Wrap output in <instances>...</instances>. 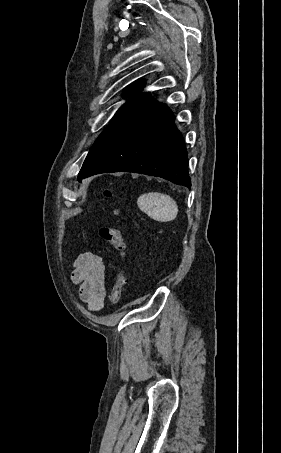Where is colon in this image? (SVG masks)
Listing matches in <instances>:
<instances>
[{
  "mask_svg": "<svg viewBox=\"0 0 281 453\" xmlns=\"http://www.w3.org/2000/svg\"><path fill=\"white\" fill-rule=\"evenodd\" d=\"M117 190L116 186L105 189V193L110 195ZM116 223L112 226H105L100 229L101 237L116 251L122 252L125 248V241L119 229V208H116ZM124 297V284L120 279H115L110 287L107 304L115 305Z\"/></svg>",
  "mask_w": 281,
  "mask_h": 453,
  "instance_id": "colon-1",
  "label": "colon"
}]
</instances>
